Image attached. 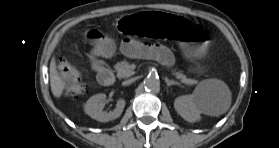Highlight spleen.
I'll use <instances>...</instances> for the list:
<instances>
[{
	"instance_id": "spleen-1",
	"label": "spleen",
	"mask_w": 279,
	"mask_h": 148,
	"mask_svg": "<svg viewBox=\"0 0 279 148\" xmlns=\"http://www.w3.org/2000/svg\"><path fill=\"white\" fill-rule=\"evenodd\" d=\"M213 87L215 88L219 87L221 90L225 91L226 101L218 111V114H222L226 110H228L231 104V95L226 85L223 84L220 80L208 79L201 82L200 86L196 88L194 94L202 100H204L205 98L209 99V97L212 96L213 94Z\"/></svg>"
}]
</instances>
